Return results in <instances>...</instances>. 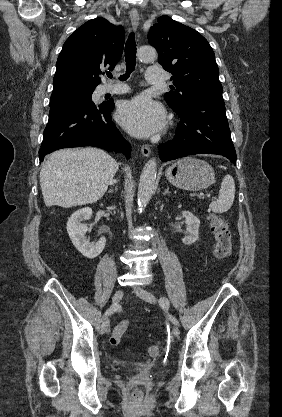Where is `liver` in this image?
I'll return each mask as SVG.
<instances>
[{
	"instance_id": "obj_1",
	"label": "liver",
	"mask_w": 282,
	"mask_h": 417,
	"mask_svg": "<svg viewBox=\"0 0 282 417\" xmlns=\"http://www.w3.org/2000/svg\"><path fill=\"white\" fill-rule=\"evenodd\" d=\"M119 162L100 148L55 150L40 170L46 206H77L102 198Z\"/></svg>"
}]
</instances>
